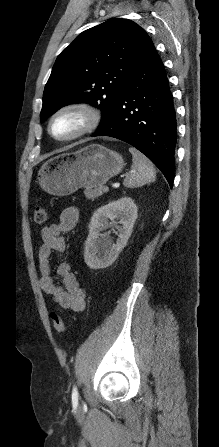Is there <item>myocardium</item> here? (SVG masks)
<instances>
[{
  "instance_id": "myocardium-1",
  "label": "myocardium",
  "mask_w": 219,
  "mask_h": 447,
  "mask_svg": "<svg viewBox=\"0 0 219 447\" xmlns=\"http://www.w3.org/2000/svg\"><path fill=\"white\" fill-rule=\"evenodd\" d=\"M68 113L79 114L82 117L81 126L76 131L67 136L63 137L56 136L52 131L53 122L59 116ZM101 120L102 115L97 107L89 103L72 102L61 106L50 116L47 124V131L51 135V137L57 141H63V142L72 141L94 131L100 125Z\"/></svg>"
}]
</instances>
